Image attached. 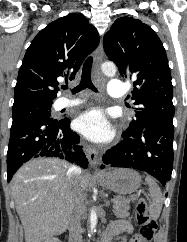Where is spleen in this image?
<instances>
[{"instance_id":"1","label":"spleen","mask_w":187,"mask_h":242,"mask_svg":"<svg viewBox=\"0 0 187 242\" xmlns=\"http://www.w3.org/2000/svg\"><path fill=\"white\" fill-rule=\"evenodd\" d=\"M145 181L149 186V195L152 200L149 205V213L150 216L156 220L159 218L162 210L163 195L161 189L152 177L146 176Z\"/></svg>"}]
</instances>
